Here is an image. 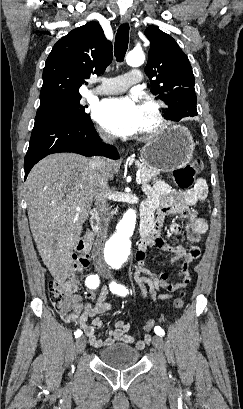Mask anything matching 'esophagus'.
<instances>
[{
	"mask_svg": "<svg viewBox=\"0 0 243 409\" xmlns=\"http://www.w3.org/2000/svg\"><path fill=\"white\" fill-rule=\"evenodd\" d=\"M131 15L129 13H125L121 16L122 23H128L130 21Z\"/></svg>",
	"mask_w": 243,
	"mask_h": 409,
	"instance_id": "obj_1",
	"label": "esophagus"
}]
</instances>
